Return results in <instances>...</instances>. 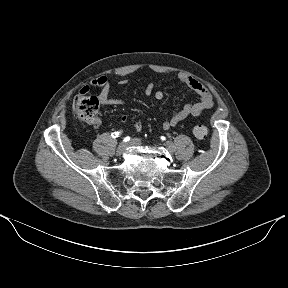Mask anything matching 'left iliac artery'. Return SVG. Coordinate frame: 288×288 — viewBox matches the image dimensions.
Returning <instances> with one entry per match:
<instances>
[{
  "mask_svg": "<svg viewBox=\"0 0 288 288\" xmlns=\"http://www.w3.org/2000/svg\"><path fill=\"white\" fill-rule=\"evenodd\" d=\"M161 139H162V140H165V137L162 136Z\"/></svg>",
  "mask_w": 288,
  "mask_h": 288,
  "instance_id": "obj_1",
  "label": "left iliac artery"
}]
</instances>
